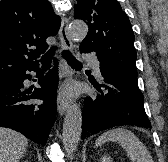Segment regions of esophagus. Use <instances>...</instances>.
Returning <instances> with one entry per match:
<instances>
[{
  "label": "esophagus",
  "mask_w": 168,
  "mask_h": 162,
  "mask_svg": "<svg viewBox=\"0 0 168 162\" xmlns=\"http://www.w3.org/2000/svg\"><path fill=\"white\" fill-rule=\"evenodd\" d=\"M59 38H60L62 46L65 49L70 50V51L73 49V44L68 34V19L67 18L62 19L61 27L59 30ZM72 74H73L72 71L67 72L65 80L59 89V93L57 97V107H58V112L60 115H64L69 107V99L66 96L65 92H66V86H67L68 80L72 76Z\"/></svg>",
  "instance_id": "obj_1"
}]
</instances>
